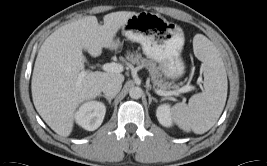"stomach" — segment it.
I'll use <instances>...</instances> for the list:
<instances>
[{
    "instance_id": "0dacf381",
    "label": "stomach",
    "mask_w": 267,
    "mask_h": 166,
    "mask_svg": "<svg viewBox=\"0 0 267 166\" xmlns=\"http://www.w3.org/2000/svg\"><path fill=\"white\" fill-rule=\"evenodd\" d=\"M122 32L127 39L138 42L148 58L159 63L167 79L183 76L184 34L177 24L168 22L160 14L143 11L132 15L122 26ZM119 44L114 42L112 47L117 48Z\"/></svg>"
}]
</instances>
